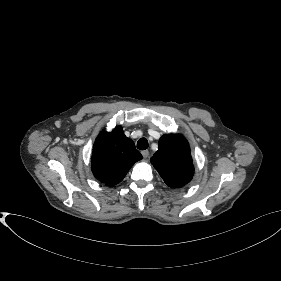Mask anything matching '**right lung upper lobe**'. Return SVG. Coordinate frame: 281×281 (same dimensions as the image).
<instances>
[{
    "mask_svg": "<svg viewBox=\"0 0 281 281\" xmlns=\"http://www.w3.org/2000/svg\"><path fill=\"white\" fill-rule=\"evenodd\" d=\"M142 159L134 142L127 138L120 126L112 132L103 130L95 140L92 153V172L107 186L123 180L133 164Z\"/></svg>",
    "mask_w": 281,
    "mask_h": 281,
    "instance_id": "cb5924a9",
    "label": "right lung upper lobe"
}]
</instances>
